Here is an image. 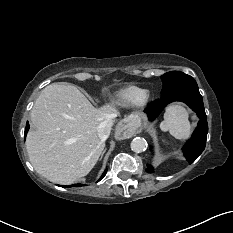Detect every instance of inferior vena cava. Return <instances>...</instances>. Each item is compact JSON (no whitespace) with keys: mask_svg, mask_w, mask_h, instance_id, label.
I'll return each mask as SVG.
<instances>
[{"mask_svg":"<svg viewBox=\"0 0 233 233\" xmlns=\"http://www.w3.org/2000/svg\"><path fill=\"white\" fill-rule=\"evenodd\" d=\"M114 118H115V115L110 114L107 117V119L101 124L98 135L102 141H105L109 137Z\"/></svg>","mask_w":233,"mask_h":233,"instance_id":"inferior-vena-cava-1","label":"inferior vena cava"}]
</instances>
